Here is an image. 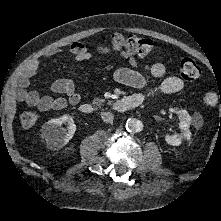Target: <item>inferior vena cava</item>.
<instances>
[{
    "instance_id": "602c4592",
    "label": "inferior vena cava",
    "mask_w": 221,
    "mask_h": 221,
    "mask_svg": "<svg viewBox=\"0 0 221 221\" xmlns=\"http://www.w3.org/2000/svg\"><path fill=\"white\" fill-rule=\"evenodd\" d=\"M101 118L105 123H111L114 119V115L111 112L101 113Z\"/></svg>"
}]
</instances>
